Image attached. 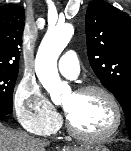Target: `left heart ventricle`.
Instances as JSON below:
<instances>
[{"label": "left heart ventricle", "mask_w": 131, "mask_h": 151, "mask_svg": "<svg viewBox=\"0 0 131 151\" xmlns=\"http://www.w3.org/2000/svg\"><path fill=\"white\" fill-rule=\"evenodd\" d=\"M62 105L73 125L81 132L103 134L114 124L113 108L99 93H70Z\"/></svg>", "instance_id": "b2bd125f"}]
</instances>
